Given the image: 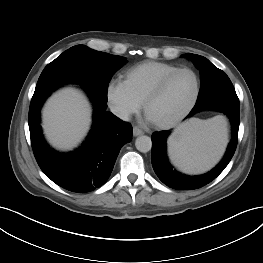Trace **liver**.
I'll use <instances>...</instances> for the list:
<instances>
[{
  "mask_svg": "<svg viewBox=\"0 0 263 263\" xmlns=\"http://www.w3.org/2000/svg\"><path fill=\"white\" fill-rule=\"evenodd\" d=\"M91 123V107L82 92L65 88L47 101L43 109V129L56 148L69 150L86 135Z\"/></svg>",
  "mask_w": 263,
  "mask_h": 263,
  "instance_id": "liver-1",
  "label": "liver"
}]
</instances>
